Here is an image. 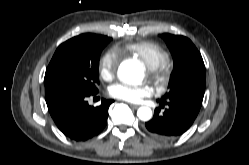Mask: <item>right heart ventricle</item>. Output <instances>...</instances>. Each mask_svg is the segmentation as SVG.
I'll list each match as a JSON object with an SVG mask.
<instances>
[{
  "label": "right heart ventricle",
  "instance_id": "obj_1",
  "mask_svg": "<svg viewBox=\"0 0 249 165\" xmlns=\"http://www.w3.org/2000/svg\"><path fill=\"white\" fill-rule=\"evenodd\" d=\"M126 50L141 59L148 68H155L169 60L168 51L152 41H141L126 45Z\"/></svg>",
  "mask_w": 249,
  "mask_h": 165
}]
</instances>
